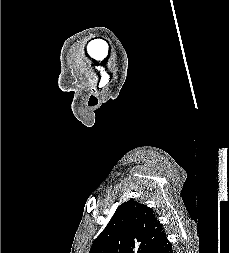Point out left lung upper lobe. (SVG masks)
<instances>
[{
  "instance_id": "left-lung-upper-lobe-1",
  "label": "left lung upper lobe",
  "mask_w": 229,
  "mask_h": 253,
  "mask_svg": "<svg viewBox=\"0 0 229 253\" xmlns=\"http://www.w3.org/2000/svg\"><path fill=\"white\" fill-rule=\"evenodd\" d=\"M165 237L153 211L129 200L117 208L89 253H154Z\"/></svg>"
}]
</instances>
